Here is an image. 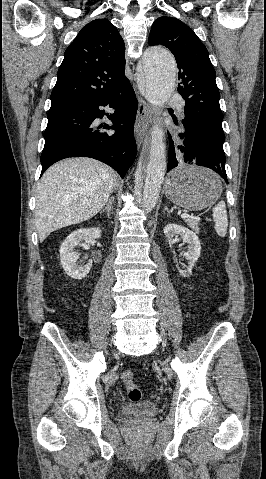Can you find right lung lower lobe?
<instances>
[{
  "label": "right lung lower lobe",
  "mask_w": 266,
  "mask_h": 479,
  "mask_svg": "<svg viewBox=\"0 0 266 479\" xmlns=\"http://www.w3.org/2000/svg\"><path fill=\"white\" fill-rule=\"evenodd\" d=\"M102 106L115 111L108 114ZM136 112L137 99L130 82L112 93L51 104L43 134L41 174L61 159L84 156L108 164L123 178L136 157L133 133ZM104 115L113 125L97 127L94 120ZM100 128L116 131L112 134Z\"/></svg>",
  "instance_id": "right-lung-lower-lobe-1"
}]
</instances>
